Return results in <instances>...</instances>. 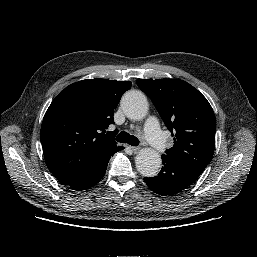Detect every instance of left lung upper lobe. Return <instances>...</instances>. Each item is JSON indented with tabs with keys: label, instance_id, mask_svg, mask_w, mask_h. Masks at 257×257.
<instances>
[{
	"label": "left lung upper lobe",
	"instance_id": "1",
	"mask_svg": "<svg viewBox=\"0 0 257 257\" xmlns=\"http://www.w3.org/2000/svg\"><path fill=\"white\" fill-rule=\"evenodd\" d=\"M136 82L174 136V145L165 156L202 173L215 148L216 119L207 99L180 79H137Z\"/></svg>",
	"mask_w": 257,
	"mask_h": 257
}]
</instances>
